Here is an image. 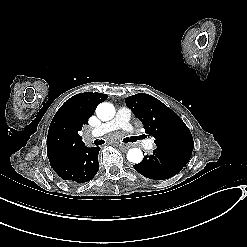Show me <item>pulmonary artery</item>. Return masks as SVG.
I'll return each mask as SVG.
<instances>
[{"label":"pulmonary artery","instance_id":"pulmonary-artery-1","mask_svg":"<svg viewBox=\"0 0 247 247\" xmlns=\"http://www.w3.org/2000/svg\"><path fill=\"white\" fill-rule=\"evenodd\" d=\"M131 117L132 111L126 106H120L117 109L116 115L113 120L104 123L101 126H98L96 129L94 127H91L89 129V132L91 134H94L95 132L97 134H100L109 130H114L115 128H120L131 132L134 129V127L130 123ZM87 139L90 140L91 136H88ZM143 148L147 152H152L156 148V144L153 139H147L143 143Z\"/></svg>","mask_w":247,"mask_h":247}]
</instances>
